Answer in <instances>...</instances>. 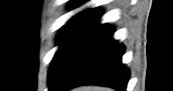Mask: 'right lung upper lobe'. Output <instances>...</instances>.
<instances>
[{
  "instance_id": "obj_1",
  "label": "right lung upper lobe",
  "mask_w": 173,
  "mask_h": 91,
  "mask_svg": "<svg viewBox=\"0 0 173 91\" xmlns=\"http://www.w3.org/2000/svg\"><path fill=\"white\" fill-rule=\"evenodd\" d=\"M82 2L83 1L81 0L73 1L71 7L75 8L78 5H80ZM101 13L102 10L98 8L83 11L80 14L73 17L68 23L85 25L88 22L92 21L94 18L98 17Z\"/></svg>"
}]
</instances>
